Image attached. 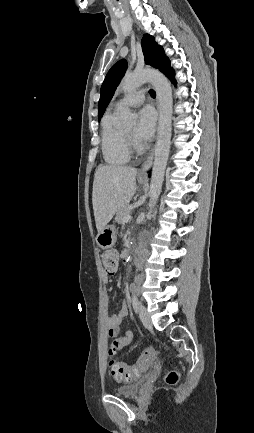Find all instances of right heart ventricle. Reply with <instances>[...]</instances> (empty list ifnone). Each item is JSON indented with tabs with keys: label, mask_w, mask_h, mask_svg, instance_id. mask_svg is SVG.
<instances>
[{
	"label": "right heart ventricle",
	"mask_w": 254,
	"mask_h": 433,
	"mask_svg": "<svg viewBox=\"0 0 254 433\" xmlns=\"http://www.w3.org/2000/svg\"><path fill=\"white\" fill-rule=\"evenodd\" d=\"M101 150L104 161L112 166L124 165L131 158L124 140L123 129L117 125L114 112H108L102 119Z\"/></svg>",
	"instance_id": "e07e8e85"
}]
</instances>
